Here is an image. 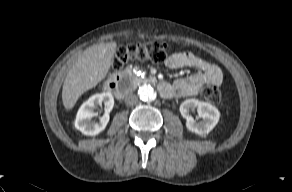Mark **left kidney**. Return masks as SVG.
I'll return each mask as SVG.
<instances>
[{"mask_svg": "<svg viewBox=\"0 0 292 192\" xmlns=\"http://www.w3.org/2000/svg\"><path fill=\"white\" fill-rule=\"evenodd\" d=\"M197 109L202 121L196 122L189 114L190 110ZM180 113L186 119V127L189 131L198 135L208 134L218 123L220 113L218 109L210 103L197 99H187L180 105Z\"/></svg>", "mask_w": 292, "mask_h": 192, "instance_id": "5707ae66", "label": "left kidney"}]
</instances>
